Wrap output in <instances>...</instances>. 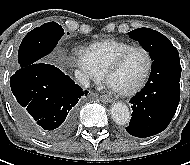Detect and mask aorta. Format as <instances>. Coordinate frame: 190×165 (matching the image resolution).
Masks as SVG:
<instances>
[{
  "instance_id": "762f6f07",
  "label": "aorta",
  "mask_w": 190,
  "mask_h": 165,
  "mask_svg": "<svg viewBox=\"0 0 190 165\" xmlns=\"http://www.w3.org/2000/svg\"><path fill=\"white\" fill-rule=\"evenodd\" d=\"M111 117L118 125H125L130 121V111L124 103H115L111 107Z\"/></svg>"
}]
</instances>
